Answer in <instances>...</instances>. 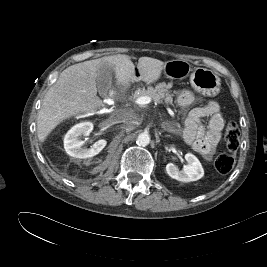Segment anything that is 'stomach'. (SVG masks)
Instances as JSON below:
<instances>
[{"label":"stomach","mask_w":267,"mask_h":267,"mask_svg":"<svg viewBox=\"0 0 267 267\" xmlns=\"http://www.w3.org/2000/svg\"><path fill=\"white\" fill-rule=\"evenodd\" d=\"M164 73L170 78L182 79L190 76L191 86L202 95L214 97L220 92L221 80L215 72L200 67L192 69L184 60L166 62Z\"/></svg>","instance_id":"0dacf381"}]
</instances>
